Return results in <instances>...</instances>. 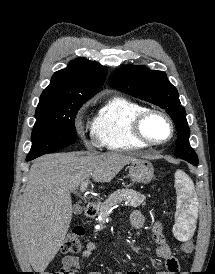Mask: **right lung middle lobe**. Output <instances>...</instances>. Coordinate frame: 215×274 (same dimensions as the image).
<instances>
[{
    "label": "right lung middle lobe",
    "instance_id": "right-lung-middle-lobe-1",
    "mask_svg": "<svg viewBox=\"0 0 215 274\" xmlns=\"http://www.w3.org/2000/svg\"><path fill=\"white\" fill-rule=\"evenodd\" d=\"M82 104L53 102L38 104L32 147L26 160L55 152L76 141L75 116Z\"/></svg>",
    "mask_w": 215,
    "mask_h": 274
}]
</instances>
